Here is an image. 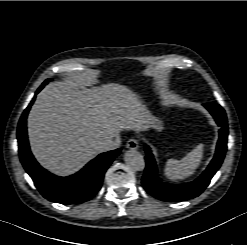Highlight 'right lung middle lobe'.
<instances>
[{"label":"right lung middle lobe","mask_w":247,"mask_h":245,"mask_svg":"<svg viewBox=\"0 0 247 245\" xmlns=\"http://www.w3.org/2000/svg\"><path fill=\"white\" fill-rule=\"evenodd\" d=\"M49 81H50V79L45 80V81L42 83L41 86L44 87Z\"/></svg>","instance_id":"obj_1"}]
</instances>
